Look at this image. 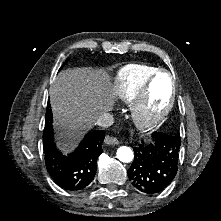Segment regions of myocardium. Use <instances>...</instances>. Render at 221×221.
Here are the masks:
<instances>
[{
	"instance_id": "f54148a6",
	"label": "myocardium",
	"mask_w": 221,
	"mask_h": 221,
	"mask_svg": "<svg viewBox=\"0 0 221 221\" xmlns=\"http://www.w3.org/2000/svg\"><path fill=\"white\" fill-rule=\"evenodd\" d=\"M166 74L170 79L171 91L168 103L166 106L156 114L148 113V105L150 101V93L152 86L156 78L161 75ZM176 87L173 75L166 69L157 70L147 84L143 87L140 94L138 95L134 109H133V121L135 125L142 130H150L159 126L169 115L170 111L175 102Z\"/></svg>"
}]
</instances>
